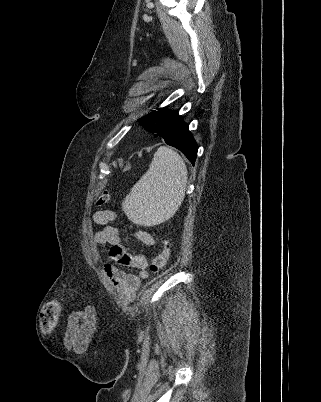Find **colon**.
Instances as JSON below:
<instances>
[{"label":"colon","mask_w":321,"mask_h":402,"mask_svg":"<svg viewBox=\"0 0 321 402\" xmlns=\"http://www.w3.org/2000/svg\"><path fill=\"white\" fill-rule=\"evenodd\" d=\"M110 195L107 191L103 192L97 199L98 206H104L108 203ZM169 258V248L165 242L160 251L154 256L150 264V271L154 274L162 271ZM61 306L57 301H50L46 304L41 312L39 324L41 331L48 333L51 332L56 324L60 314Z\"/></svg>","instance_id":"5ec220e1"}]
</instances>
